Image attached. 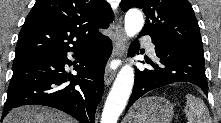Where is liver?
I'll return each mask as SVG.
<instances>
[{
  "mask_svg": "<svg viewBox=\"0 0 221 123\" xmlns=\"http://www.w3.org/2000/svg\"><path fill=\"white\" fill-rule=\"evenodd\" d=\"M3 123H75V120L51 108L22 106L9 112Z\"/></svg>",
  "mask_w": 221,
  "mask_h": 123,
  "instance_id": "6515ba94",
  "label": "liver"
}]
</instances>
